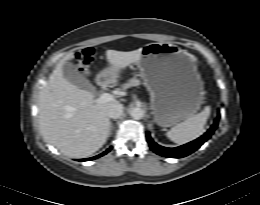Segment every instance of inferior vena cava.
I'll return each instance as SVG.
<instances>
[{"instance_id":"602c4592","label":"inferior vena cava","mask_w":260,"mask_h":205,"mask_svg":"<svg viewBox=\"0 0 260 205\" xmlns=\"http://www.w3.org/2000/svg\"><path fill=\"white\" fill-rule=\"evenodd\" d=\"M123 113V105L120 103L112 105L108 111L107 115L109 118L117 119L119 118Z\"/></svg>"}]
</instances>
